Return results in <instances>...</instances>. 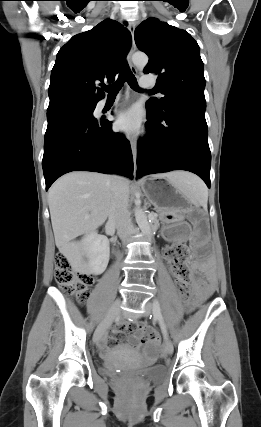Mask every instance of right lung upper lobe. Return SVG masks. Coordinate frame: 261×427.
Listing matches in <instances>:
<instances>
[{"label":"right lung upper lobe","instance_id":"1","mask_svg":"<svg viewBox=\"0 0 261 427\" xmlns=\"http://www.w3.org/2000/svg\"><path fill=\"white\" fill-rule=\"evenodd\" d=\"M131 47V34L106 19L73 36L57 53L51 71L47 110L68 105H96L112 83Z\"/></svg>","mask_w":261,"mask_h":427}]
</instances>
